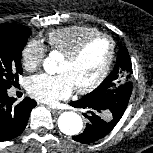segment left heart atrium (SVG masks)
<instances>
[{
    "instance_id": "obj_1",
    "label": "left heart atrium",
    "mask_w": 153,
    "mask_h": 153,
    "mask_svg": "<svg viewBox=\"0 0 153 153\" xmlns=\"http://www.w3.org/2000/svg\"><path fill=\"white\" fill-rule=\"evenodd\" d=\"M28 92L36 100L55 105L58 101L68 98L73 85L65 74L49 75L39 74L33 76L28 82Z\"/></svg>"
}]
</instances>
